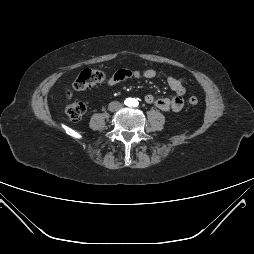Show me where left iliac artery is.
<instances>
[{"label":"left iliac artery","instance_id":"44dca946","mask_svg":"<svg viewBox=\"0 0 254 254\" xmlns=\"http://www.w3.org/2000/svg\"><path fill=\"white\" fill-rule=\"evenodd\" d=\"M133 106H134V107H137V106H138V101H137V100H135V101L133 102Z\"/></svg>","mask_w":254,"mask_h":254}]
</instances>
